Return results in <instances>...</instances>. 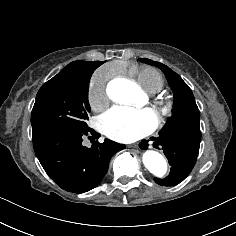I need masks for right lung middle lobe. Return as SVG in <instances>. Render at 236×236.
<instances>
[{"label":"right lung middle lobe","mask_w":236,"mask_h":236,"mask_svg":"<svg viewBox=\"0 0 236 236\" xmlns=\"http://www.w3.org/2000/svg\"><path fill=\"white\" fill-rule=\"evenodd\" d=\"M93 70L60 72L38 91L31 114L32 134L58 128H88V85Z\"/></svg>","instance_id":"dd1d6c3e"}]
</instances>
